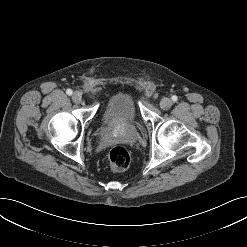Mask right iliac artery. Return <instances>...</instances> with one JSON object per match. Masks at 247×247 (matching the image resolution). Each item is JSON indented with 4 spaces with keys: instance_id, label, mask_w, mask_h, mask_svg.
<instances>
[{
    "instance_id": "obj_1",
    "label": "right iliac artery",
    "mask_w": 247,
    "mask_h": 247,
    "mask_svg": "<svg viewBox=\"0 0 247 247\" xmlns=\"http://www.w3.org/2000/svg\"><path fill=\"white\" fill-rule=\"evenodd\" d=\"M66 93L70 96L72 95L73 91L71 89H67Z\"/></svg>"
}]
</instances>
